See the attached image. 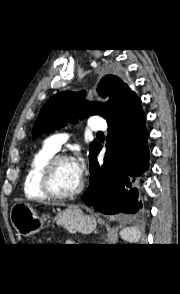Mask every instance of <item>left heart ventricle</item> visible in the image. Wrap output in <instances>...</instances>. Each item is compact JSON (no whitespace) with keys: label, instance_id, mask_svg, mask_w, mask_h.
Wrapping results in <instances>:
<instances>
[{"label":"left heart ventricle","instance_id":"left-heart-ventricle-1","mask_svg":"<svg viewBox=\"0 0 180 294\" xmlns=\"http://www.w3.org/2000/svg\"><path fill=\"white\" fill-rule=\"evenodd\" d=\"M80 181L81 178L77 176L72 161H65L55 169L52 186L59 193H69L79 186Z\"/></svg>","mask_w":180,"mask_h":294}]
</instances>
